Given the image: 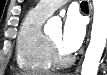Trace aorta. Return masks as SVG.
Segmentation results:
<instances>
[{"mask_svg": "<svg viewBox=\"0 0 107 75\" xmlns=\"http://www.w3.org/2000/svg\"><path fill=\"white\" fill-rule=\"evenodd\" d=\"M93 7L91 39L82 64L81 75H97L107 42V0H93ZM52 24V21H48V25Z\"/></svg>", "mask_w": 107, "mask_h": 75, "instance_id": "1", "label": "aorta"}]
</instances>
